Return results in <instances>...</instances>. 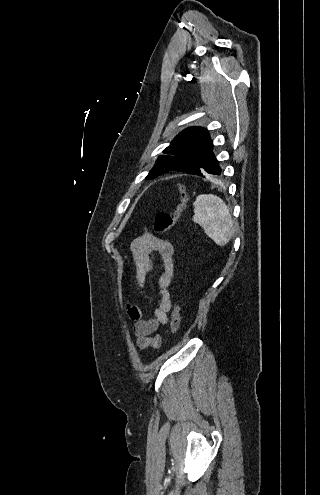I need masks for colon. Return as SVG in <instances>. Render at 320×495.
<instances>
[{
  "label": "colon",
  "instance_id": "5ec220e1",
  "mask_svg": "<svg viewBox=\"0 0 320 495\" xmlns=\"http://www.w3.org/2000/svg\"><path fill=\"white\" fill-rule=\"evenodd\" d=\"M179 203L174 212H160L157 213L154 220V228L157 232L166 233L172 229V227L180 220L184 210L187 207L189 195L188 190L184 185H178ZM181 324L180 308L178 304H175L171 314V335H175Z\"/></svg>",
  "mask_w": 320,
  "mask_h": 495
}]
</instances>
